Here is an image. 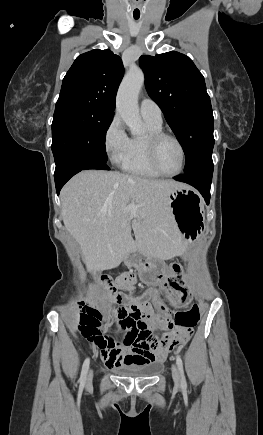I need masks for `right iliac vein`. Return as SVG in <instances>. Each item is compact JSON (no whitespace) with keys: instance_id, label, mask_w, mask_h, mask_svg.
Returning <instances> with one entry per match:
<instances>
[{"instance_id":"1","label":"right iliac vein","mask_w":263,"mask_h":435,"mask_svg":"<svg viewBox=\"0 0 263 435\" xmlns=\"http://www.w3.org/2000/svg\"><path fill=\"white\" fill-rule=\"evenodd\" d=\"M92 379H93V370L91 369L88 373L87 383H91Z\"/></svg>"}]
</instances>
